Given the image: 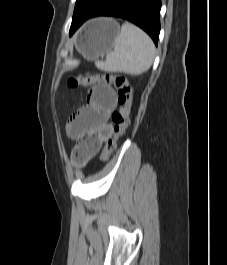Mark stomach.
<instances>
[{"label":"stomach","instance_id":"obj_1","mask_svg":"<svg viewBox=\"0 0 227 265\" xmlns=\"http://www.w3.org/2000/svg\"><path fill=\"white\" fill-rule=\"evenodd\" d=\"M120 33L117 22L110 18L91 20L77 41V50L87 60L103 56L112 50L114 40Z\"/></svg>","mask_w":227,"mask_h":265}]
</instances>
